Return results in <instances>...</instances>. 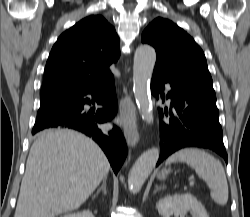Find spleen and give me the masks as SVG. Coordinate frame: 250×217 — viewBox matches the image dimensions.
Here are the masks:
<instances>
[{
    "mask_svg": "<svg viewBox=\"0 0 250 217\" xmlns=\"http://www.w3.org/2000/svg\"><path fill=\"white\" fill-rule=\"evenodd\" d=\"M185 162L193 168L199 178L203 179L211 189L210 196L214 202L224 206L228 202V183L223 165L204 150L186 148L172 154L166 165L173 162Z\"/></svg>",
    "mask_w": 250,
    "mask_h": 217,
    "instance_id": "obj_1",
    "label": "spleen"
}]
</instances>
